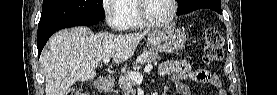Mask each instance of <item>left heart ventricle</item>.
Returning <instances> with one entry per match:
<instances>
[{
    "mask_svg": "<svg viewBox=\"0 0 277 95\" xmlns=\"http://www.w3.org/2000/svg\"><path fill=\"white\" fill-rule=\"evenodd\" d=\"M171 3L169 0H147L144 6L145 14L154 20H164L170 16Z\"/></svg>",
    "mask_w": 277,
    "mask_h": 95,
    "instance_id": "obj_1",
    "label": "left heart ventricle"
}]
</instances>
